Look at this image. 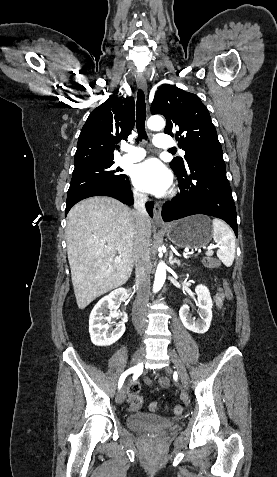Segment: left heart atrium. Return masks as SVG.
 I'll list each match as a JSON object with an SVG mask.
<instances>
[{"label": "left heart atrium", "instance_id": "39dd6f15", "mask_svg": "<svg viewBox=\"0 0 277 477\" xmlns=\"http://www.w3.org/2000/svg\"><path fill=\"white\" fill-rule=\"evenodd\" d=\"M132 179L137 188L155 195L165 194L172 184L168 169L154 158L136 165L132 171Z\"/></svg>", "mask_w": 277, "mask_h": 477}]
</instances>
